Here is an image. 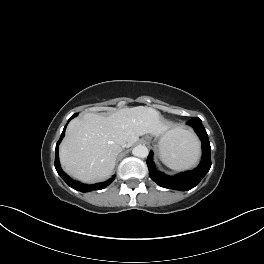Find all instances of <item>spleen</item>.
I'll use <instances>...</instances> for the list:
<instances>
[{"label": "spleen", "instance_id": "3e777b00", "mask_svg": "<svg viewBox=\"0 0 264 264\" xmlns=\"http://www.w3.org/2000/svg\"><path fill=\"white\" fill-rule=\"evenodd\" d=\"M200 155V145L193 133L179 129L168 144L160 146L162 162L173 170H184L192 167Z\"/></svg>", "mask_w": 264, "mask_h": 264}]
</instances>
